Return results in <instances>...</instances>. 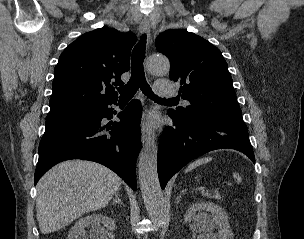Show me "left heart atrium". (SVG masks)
<instances>
[{
	"mask_svg": "<svg viewBox=\"0 0 304 239\" xmlns=\"http://www.w3.org/2000/svg\"><path fill=\"white\" fill-rule=\"evenodd\" d=\"M145 124L149 127H152L155 125V119L154 117H149L146 119Z\"/></svg>",
	"mask_w": 304,
	"mask_h": 239,
	"instance_id": "1",
	"label": "left heart atrium"
}]
</instances>
